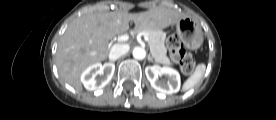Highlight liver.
<instances>
[{
    "label": "liver",
    "instance_id": "6515ba94",
    "mask_svg": "<svg viewBox=\"0 0 276 120\" xmlns=\"http://www.w3.org/2000/svg\"><path fill=\"white\" fill-rule=\"evenodd\" d=\"M185 15L179 10L156 7L146 12H95L75 19L60 39L56 64L62 80L81 91V73L107 59L109 40L128 31L133 21L137 30H159L175 24Z\"/></svg>",
    "mask_w": 276,
    "mask_h": 120
}]
</instances>
